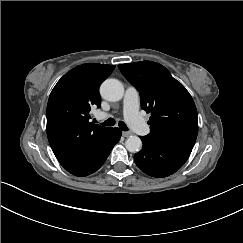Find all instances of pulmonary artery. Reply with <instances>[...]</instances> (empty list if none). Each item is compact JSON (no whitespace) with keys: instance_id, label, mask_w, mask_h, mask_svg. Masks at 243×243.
Listing matches in <instances>:
<instances>
[{"instance_id":"e3ab8cb5","label":"pulmonary artery","mask_w":243,"mask_h":243,"mask_svg":"<svg viewBox=\"0 0 243 243\" xmlns=\"http://www.w3.org/2000/svg\"><path fill=\"white\" fill-rule=\"evenodd\" d=\"M123 117L127 123H132L137 120L140 116V94L138 90L132 86L128 85L125 89L123 96ZM97 120H104L108 117V113L97 111L94 113Z\"/></svg>"}]
</instances>
